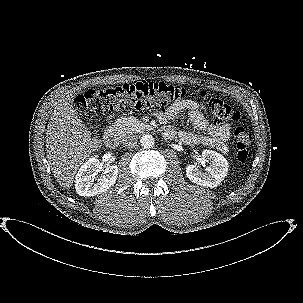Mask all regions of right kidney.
Instances as JSON below:
<instances>
[{"instance_id":"1","label":"right kidney","mask_w":303,"mask_h":303,"mask_svg":"<svg viewBox=\"0 0 303 303\" xmlns=\"http://www.w3.org/2000/svg\"><path fill=\"white\" fill-rule=\"evenodd\" d=\"M102 168L97 156L89 158L79 168L75 177V189L78 195L91 197L107 191L116 182L117 165H111L103 170L102 176L94 182L95 173Z\"/></svg>"}]
</instances>
